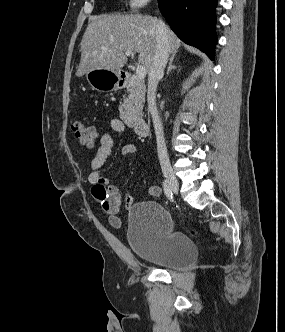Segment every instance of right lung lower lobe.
<instances>
[{"instance_id":"obj_1","label":"right lung lower lobe","mask_w":285,"mask_h":332,"mask_svg":"<svg viewBox=\"0 0 285 332\" xmlns=\"http://www.w3.org/2000/svg\"><path fill=\"white\" fill-rule=\"evenodd\" d=\"M158 4L171 29L182 41L214 58L217 0H158Z\"/></svg>"}]
</instances>
